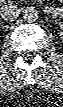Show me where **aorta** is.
I'll use <instances>...</instances> for the list:
<instances>
[{"label": "aorta", "mask_w": 63, "mask_h": 107, "mask_svg": "<svg viewBox=\"0 0 63 107\" xmlns=\"http://www.w3.org/2000/svg\"><path fill=\"white\" fill-rule=\"evenodd\" d=\"M38 17V10L33 6H28L23 11V18L27 22H35Z\"/></svg>", "instance_id": "aorta-1"}]
</instances>
